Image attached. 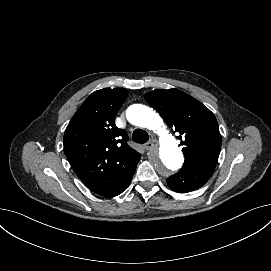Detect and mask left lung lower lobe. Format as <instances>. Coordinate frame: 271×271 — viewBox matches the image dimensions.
Masks as SVG:
<instances>
[{
	"mask_svg": "<svg viewBox=\"0 0 271 271\" xmlns=\"http://www.w3.org/2000/svg\"><path fill=\"white\" fill-rule=\"evenodd\" d=\"M215 168L207 167L200 170L180 169L168 177V186L177 193H188L202 187L212 176Z\"/></svg>",
	"mask_w": 271,
	"mask_h": 271,
	"instance_id": "1",
	"label": "left lung lower lobe"
}]
</instances>
